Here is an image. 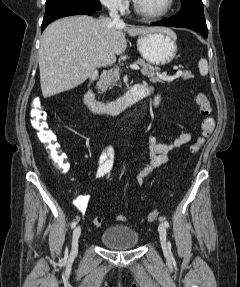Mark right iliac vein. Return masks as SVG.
<instances>
[{"mask_svg":"<svg viewBox=\"0 0 240 287\" xmlns=\"http://www.w3.org/2000/svg\"><path fill=\"white\" fill-rule=\"evenodd\" d=\"M81 235V227L77 226L72 235V249H71V254L75 255L78 251V240Z\"/></svg>","mask_w":240,"mask_h":287,"instance_id":"63e3f726","label":"right iliac vein"}]
</instances>
